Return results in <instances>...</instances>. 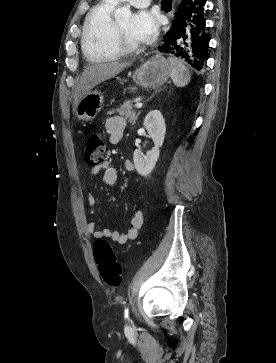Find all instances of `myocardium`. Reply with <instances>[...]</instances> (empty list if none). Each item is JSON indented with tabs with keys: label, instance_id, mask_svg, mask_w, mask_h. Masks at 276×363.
Wrapping results in <instances>:
<instances>
[{
	"label": "myocardium",
	"instance_id": "myocardium-1",
	"mask_svg": "<svg viewBox=\"0 0 276 363\" xmlns=\"http://www.w3.org/2000/svg\"><path fill=\"white\" fill-rule=\"evenodd\" d=\"M112 42L115 49L120 53V55L136 54L143 50V48L145 47L144 44L137 46L127 44L122 37L121 28L117 20L114 21L112 27Z\"/></svg>",
	"mask_w": 276,
	"mask_h": 363
}]
</instances>
